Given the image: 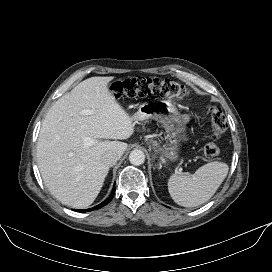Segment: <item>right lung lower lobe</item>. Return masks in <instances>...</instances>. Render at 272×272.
I'll return each instance as SVG.
<instances>
[{
    "instance_id": "98d812e1",
    "label": "right lung lower lobe",
    "mask_w": 272,
    "mask_h": 272,
    "mask_svg": "<svg viewBox=\"0 0 272 272\" xmlns=\"http://www.w3.org/2000/svg\"><path fill=\"white\" fill-rule=\"evenodd\" d=\"M114 194H115V187L113 188L111 195H110L104 202H102L101 204H99V205H97V206H95V207H93V208H90V209L76 210V211H79V212H86V211H92V210H94V209H99V208H101V207L107 205V204L112 200V198L114 197Z\"/></svg>"
}]
</instances>
